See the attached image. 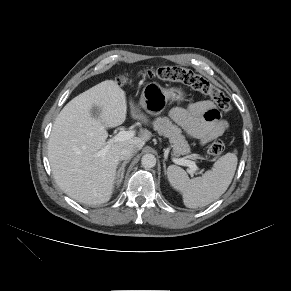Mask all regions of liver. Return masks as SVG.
Returning <instances> with one entry per match:
<instances>
[{
	"mask_svg": "<svg viewBox=\"0 0 291 291\" xmlns=\"http://www.w3.org/2000/svg\"><path fill=\"white\" fill-rule=\"evenodd\" d=\"M134 119H147L138 114L133 102ZM99 107L94 118L91 110ZM127 114L125 91L116 81H103L68 102L57 116L48 143V158L58 186L69 197L87 205L110 200L116 179L121 150L129 145L142 149L151 137L143 131L138 137L114 143L105 155L106 128L124 123Z\"/></svg>",
	"mask_w": 291,
	"mask_h": 291,
	"instance_id": "obj_1",
	"label": "liver"
}]
</instances>
